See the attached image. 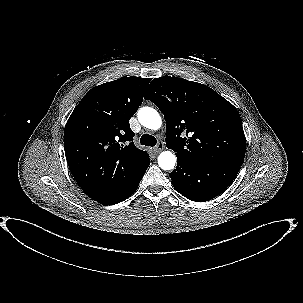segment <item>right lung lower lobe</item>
I'll return each instance as SVG.
<instances>
[{"instance_id": "1", "label": "right lung lower lobe", "mask_w": 303, "mask_h": 303, "mask_svg": "<svg viewBox=\"0 0 303 303\" xmlns=\"http://www.w3.org/2000/svg\"><path fill=\"white\" fill-rule=\"evenodd\" d=\"M150 161L148 164L132 179L130 183L125 185L123 188L118 190L117 192L98 200L97 202L103 205H113L119 202L124 201L128 197H130L138 188V185L145 174L146 169L148 168Z\"/></svg>"}]
</instances>
